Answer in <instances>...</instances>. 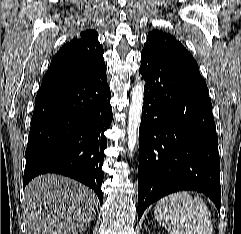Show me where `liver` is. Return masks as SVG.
I'll list each match as a JSON object with an SVG mask.
<instances>
[{
  "instance_id": "6515ba94",
  "label": "liver",
  "mask_w": 241,
  "mask_h": 234,
  "mask_svg": "<svg viewBox=\"0 0 241 234\" xmlns=\"http://www.w3.org/2000/svg\"><path fill=\"white\" fill-rule=\"evenodd\" d=\"M24 201L28 234H77L89 225L98 209L91 189L55 174L30 181Z\"/></svg>"
}]
</instances>
